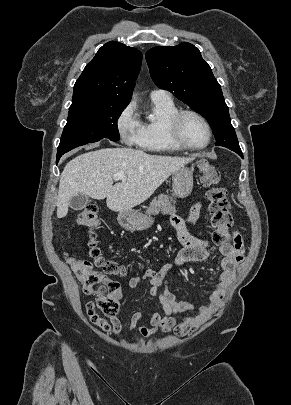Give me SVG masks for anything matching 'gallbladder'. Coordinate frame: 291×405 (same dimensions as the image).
<instances>
[{
    "instance_id": "1",
    "label": "gallbladder",
    "mask_w": 291,
    "mask_h": 405,
    "mask_svg": "<svg viewBox=\"0 0 291 405\" xmlns=\"http://www.w3.org/2000/svg\"><path fill=\"white\" fill-rule=\"evenodd\" d=\"M88 202H89L88 196L84 194H78L70 200L69 206L73 210H82L83 208H85Z\"/></svg>"
}]
</instances>
